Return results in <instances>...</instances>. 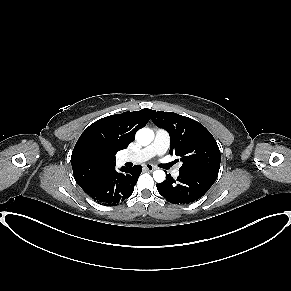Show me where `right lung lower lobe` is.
I'll use <instances>...</instances> for the list:
<instances>
[{
	"instance_id": "obj_1",
	"label": "right lung lower lobe",
	"mask_w": 291,
	"mask_h": 291,
	"mask_svg": "<svg viewBox=\"0 0 291 291\" xmlns=\"http://www.w3.org/2000/svg\"><path fill=\"white\" fill-rule=\"evenodd\" d=\"M142 166L121 168V172L113 170L106 176L86 185L82 189L96 202L113 206L128 198L134 190Z\"/></svg>"
}]
</instances>
